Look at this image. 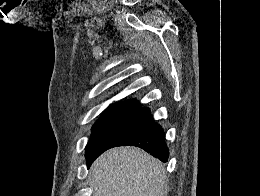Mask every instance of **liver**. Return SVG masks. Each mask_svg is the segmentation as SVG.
I'll return each mask as SVG.
<instances>
[{
    "label": "liver",
    "mask_w": 260,
    "mask_h": 196,
    "mask_svg": "<svg viewBox=\"0 0 260 196\" xmlns=\"http://www.w3.org/2000/svg\"><path fill=\"white\" fill-rule=\"evenodd\" d=\"M93 196H164L165 170L150 154L126 146L104 152L92 164Z\"/></svg>",
    "instance_id": "1"
}]
</instances>
